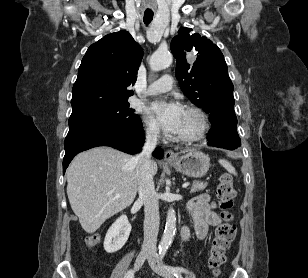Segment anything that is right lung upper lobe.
I'll return each instance as SVG.
<instances>
[{"label":"right lung upper lobe","mask_w":308,"mask_h":278,"mask_svg":"<svg viewBox=\"0 0 308 278\" xmlns=\"http://www.w3.org/2000/svg\"><path fill=\"white\" fill-rule=\"evenodd\" d=\"M142 56V48L125 30L92 44L73 85L71 116L127 102Z\"/></svg>","instance_id":"cb5924a9"}]
</instances>
